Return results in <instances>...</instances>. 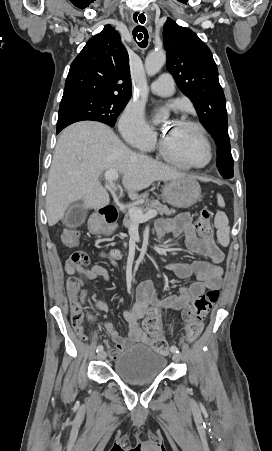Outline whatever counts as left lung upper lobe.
<instances>
[{"mask_svg":"<svg viewBox=\"0 0 272 451\" xmlns=\"http://www.w3.org/2000/svg\"><path fill=\"white\" fill-rule=\"evenodd\" d=\"M167 69L194 103L200 122L218 146L217 167L223 178L233 177L226 101L210 49L190 29L168 18L163 29Z\"/></svg>","mask_w":272,"mask_h":451,"instance_id":"1","label":"left lung upper lobe"}]
</instances>
